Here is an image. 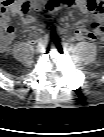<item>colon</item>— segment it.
I'll return each instance as SVG.
<instances>
[{"label": "colon", "instance_id": "5ec220e1", "mask_svg": "<svg viewBox=\"0 0 104 137\" xmlns=\"http://www.w3.org/2000/svg\"><path fill=\"white\" fill-rule=\"evenodd\" d=\"M34 0H5L4 2V11L6 9H11L13 11H28L31 6V2ZM59 0H50L48 3L43 5V10L45 12H49L53 10L54 8L58 7ZM1 23V22H0ZM14 32V28L9 26H3L1 24V35H0V41L8 34H11Z\"/></svg>", "mask_w": 104, "mask_h": 137}]
</instances>
